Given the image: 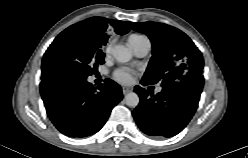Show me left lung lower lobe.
Returning <instances> with one entry per match:
<instances>
[{"label":"left lung lower lobe","mask_w":248,"mask_h":158,"mask_svg":"<svg viewBox=\"0 0 248 158\" xmlns=\"http://www.w3.org/2000/svg\"><path fill=\"white\" fill-rule=\"evenodd\" d=\"M141 84L149 85L144 81ZM134 91L140 97L132 113L138 127L150 136L172 137L182 131L194 115L202 84L179 82L163 87L156 95L139 86Z\"/></svg>","instance_id":"obj_1"}]
</instances>
